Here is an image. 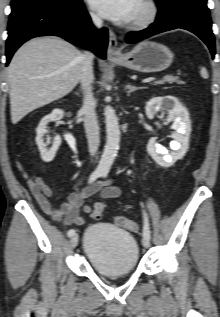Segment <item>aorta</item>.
Masks as SVG:
<instances>
[{"mask_svg": "<svg viewBox=\"0 0 220 317\" xmlns=\"http://www.w3.org/2000/svg\"><path fill=\"white\" fill-rule=\"evenodd\" d=\"M106 123V144L98 168L109 171L119 150L120 129L115 110L107 106L104 110Z\"/></svg>", "mask_w": 220, "mask_h": 317, "instance_id": "aorta-1", "label": "aorta"}]
</instances>
